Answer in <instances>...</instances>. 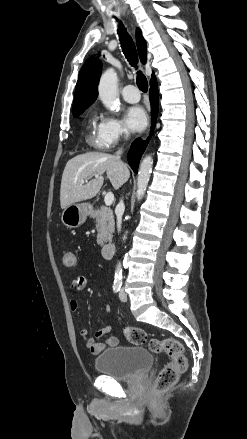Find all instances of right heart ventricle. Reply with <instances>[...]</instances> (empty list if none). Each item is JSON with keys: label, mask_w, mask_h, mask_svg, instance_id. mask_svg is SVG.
Here are the masks:
<instances>
[{"label": "right heart ventricle", "mask_w": 247, "mask_h": 439, "mask_svg": "<svg viewBox=\"0 0 247 439\" xmlns=\"http://www.w3.org/2000/svg\"><path fill=\"white\" fill-rule=\"evenodd\" d=\"M87 143L97 149H105L107 145L100 136V123H97L96 117L92 116L87 123Z\"/></svg>", "instance_id": "1"}]
</instances>
